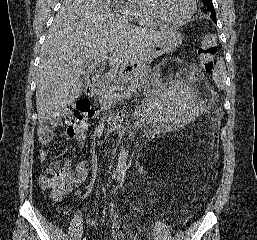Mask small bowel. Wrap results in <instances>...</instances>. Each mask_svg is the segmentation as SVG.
I'll return each mask as SVG.
<instances>
[{
  "label": "small bowel",
  "mask_w": 257,
  "mask_h": 240,
  "mask_svg": "<svg viewBox=\"0 0 257 240\" xmlns=\"http://www.w3.org/2000/svg\"><path fill=\"white\" fill-rule=\"evenodd\" d=\"M171 61H178L176 58H172ZM53 133L51 129H46L42 127L39 131V141L43 145H47L52 141ZM40 159L45 160L48 156L47 150L43 149L39 153ZM53 165V164H52ZM51 165V166H52ZM87 168H88V162L87 161H81L75 168L74 171V186L78 187L80 186L86 179L87 176Z\"/></svg>",
  "instance_id": "obj_1"
}]
</instances>
